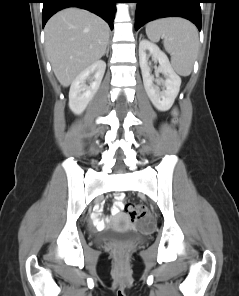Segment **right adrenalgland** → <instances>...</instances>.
I'll return each mask as SVG.
<instances>
[{"label": "right adrenal gland", "mask_w": 239, "mask_h": 296, "mask_svg": "<svg viewBox=\"0 0 239 296\" xmlns=\"http://www.w3.org/2000/svg\"><path fill=\"white\" fill-rule=\"evenodd\" d=\"M108 53H109V43H108V45H107V49H106V51H105V54H104V55H106V57H108Z\"/></svg>", "instance_id": "2a0ac1e0"}]
</instances>
